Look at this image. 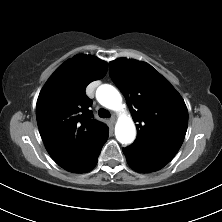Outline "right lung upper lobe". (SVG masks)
Segmentation results:
<instances>
[{
    "mask_svg": "<svg viewBox=\"0 0 222 222\" xmlns=\"http://www.w3.org/2000/svg\"><path fill=\"white\" fill-rule=\"evenodd\" d=\"M107 63L90 55L65 61L48 79L36 104V118L45 147L62 168L85 172L108 139L107 125L93 119L85 88L101 79Z\"/></svg>",
    "mask_w": 222,
    "mask_h": 222,
    "instance_id": "cb5924a9",
    "label": "right lung upper lobe"
}]
</instances>
